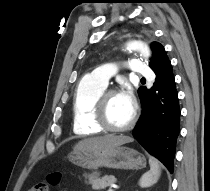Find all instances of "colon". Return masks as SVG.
<instances>
[{"label":"colon","mask_w":210,"mask_h":191,"mask_svg":"<svg viewBox=\"0 0 210 191\" xmlns=\"http://www.w3.org/2000/svg\"><path fill=\"white\" fill-rule=\"evenodd\" d=\"M62 181L60 172L49 173L44 182L38 183L31 187L29 191H50L51 188L58 186Z\"/></svg>","instance_id":"5ec220e1"}]
</instances>
